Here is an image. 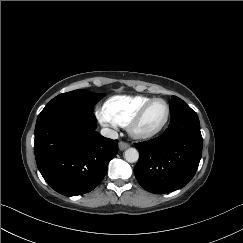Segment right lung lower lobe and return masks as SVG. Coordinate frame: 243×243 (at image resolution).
Here are the masks:
<instances>
[{"label": "right lung lower lobe", "instance_id": "98d812e1", "mask_svg": "<svg viewBox=\"0 0 243 243\" xmlns=\"http://www.w3.org/2000/svg\"><path fill=\"white\" fill-rule=\"evenodd\" d=\"M93 113L57 108L39 114L34 151L45 181L65 196L93 190L104 178L118 141L97 131Z\"/></svg>", "mask_w": 243, "mask_h": 243}]
</instances>
